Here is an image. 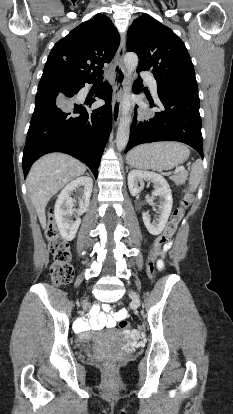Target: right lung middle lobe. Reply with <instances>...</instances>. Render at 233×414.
I'll use <instances>...</instances> for the list:
<instances>
[{
    "label": "right lung middle lobe",
    "instance_id": "right-lung-middle-lobe-1",
    "mask_svg": "<svg viewBox=\"0 0 233 414\" xmlns=\"http://www.w3.org/2000/svg\"><path fill=\"white\" fill-rule=\"evenodd\" d=\"M82 83L71 81V80H60V79H45L40 80L38 85V90L46 89V88H53L56 90H71L77 88Z\"/></svg>",
    "mask_w": 233,
    "mask_h": 414
}]
</instances>
